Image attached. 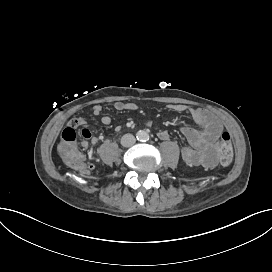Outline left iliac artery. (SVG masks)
I'll return each instance as SVG.
<instances>
[{
	"label": "left iliac artery",
	"instance_id": "left-iliac-artery-1",
	"mask_svg": "<svg viewBox=\"0 0 272 272\" xmlns=\"http://www.w3.org/2000/svg\"><path fill=\"white\" fill-rule=\"evenodd\" d=\"M145 140H146V141H148V140H149V136H148V135H146V138H145Z\"/></svg>",
	"mask_w": 272,
	"mask_h": 272
}]
</instances>
